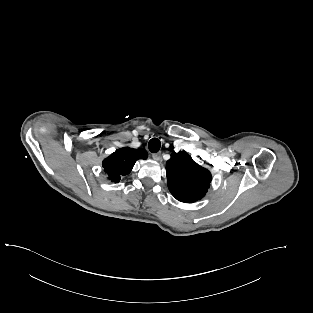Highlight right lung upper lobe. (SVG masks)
I'll return each instance as SVG.
<instances>
[{"label":"right lung upper lobe","mask_w":313,"mask_h":313,"mask_svg":"<svg viewBox=\"0 0 313 313\" xmlns=\"http://www.w3.org/2000/svg\"><path fill=\"white\" fill-rule=\"evenodd\" d=\"M138 159H147L146 150L124 147L104 159L103 168L108 178L112 182L118 183L121 177L131 172Z\"/></svg>","instance_id":"cb5924a9"}]
</instances>
